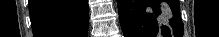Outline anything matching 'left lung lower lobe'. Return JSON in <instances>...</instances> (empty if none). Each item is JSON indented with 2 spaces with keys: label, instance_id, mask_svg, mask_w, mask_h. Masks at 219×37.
<instances>
[{
  "label": "left lung lower lobe",
  "instance_id": "0a47b994",
  "mask_svg": "<svg viewBox=\"0 0 219 37\" xmlns=\"http://www.w3.org/2000/svg\"><path fill=\"white\" fill-rule=\"evenodd\" d=\"M124 37H182L179 0H118Z\"/></svg>",
  "mask_w": 219,
  "mask_h": 37
}]
</instances>
